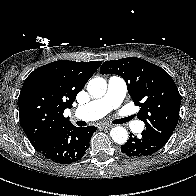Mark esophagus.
<instances>
[{
  "label": "esophagus",
  "mask_w": 196,
  "mask_h": 196,
  "mask_svg": "<svg viewBox=\"0 0 196 196\" xmlns=\"http://www.w3.org/2000/svg\"><path fill=\"white\" fill-rule=\"evenodd\" d=\"M112 127L113 126L111 124H102V128H104V129H110Z\"/></svg>",
  "instance_id": "34e87169"
}]
</instances>
